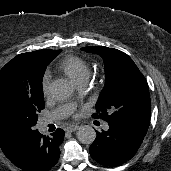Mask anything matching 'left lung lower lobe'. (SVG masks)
Returning <instances> with one entry per match:
<instances>
[{
  "label": "left lung lower lobe",
  "instance_id": "1",
  "mask_svg": "<svg viewBox=\"0 0 171 171\" xmlns=\"http://www.w3.org/2000/svg\"><path fill=\"white\" fill-rule=\"evenodd\" d=\"M108 124L107 131L96 132L90 155L101 165L120 166L135 155L146 132L122 123Z\"/></svg>",
  "mask_w": 171,
  "mask_h": 171
}]
</instances>
